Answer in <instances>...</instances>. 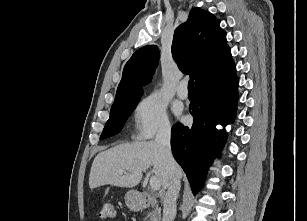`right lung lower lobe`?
Segmentation results:
<instances>
[{
    "instance_id": "1",
    "label": "right lung lower lobe",
    "mask_w": 307,
    "mask_h": 221,
    "mask_svg": "<svg viewBox=\"0 0 307 221\" xmlns=\"http://www.w3.org/2000/svg\"><path fill=\"white\" fill-rule=\"evenodd\" d=\"M237 77L214 87L196 91L189 109L191 128L178 123L172 127L171 148L196 194L202 187L212 159L224 146L226 133L217 124L226 126L234 120L238 100Z\"/></svg>"
}]
</instances>
